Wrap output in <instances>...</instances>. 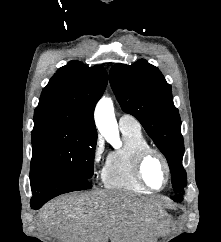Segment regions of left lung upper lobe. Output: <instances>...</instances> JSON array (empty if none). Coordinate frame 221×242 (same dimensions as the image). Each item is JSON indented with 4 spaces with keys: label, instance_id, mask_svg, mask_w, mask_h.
I'll return each instance as SVG.
<instances>
[{
    "label": "left lung upper lobe",
    "instance_id": "1",
    "mask_svg": "<svg viewBox=\"0 0 221 242\" xmlns=\"http://www.w3.org/2000/svg\"><path fill=\"white\" fill-rule=\"evenodd\" d=\"M109 79L122 110L140 121L166 157L174 191L182 192L187 183L182 166L184 143L181 120L178 109L173 104L171 86L159 69L145 59L130 66L113 65Z\"/></svg>",
    "mask_w": 221,
    "mask_h": 242
}]
</instances>
